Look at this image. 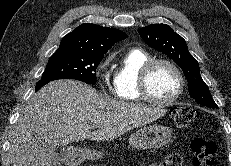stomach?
Returning a JSON list of instances; mask_svg holds the SVG:
<instances>
[{
    "label": "stomach",
    "instance_id": "obj_1",
    "mask_svg": "<svg viewBox=\"0 0 231 166\" xmlns=\"http://www.w3.org/2000/svg\"><path fill=\"white\" fill-rule=\"evenodd\" d=\"M171 138V131L164 125H150L141 128L129 137V144L138 150L156 149L166 145ZM64 161L75 166L84 160H99L102 152L97 150L68 147L63 150Z\"/></svg>",
    "mask_w": 231,
    "mask_h": 166
}]
</instances>
